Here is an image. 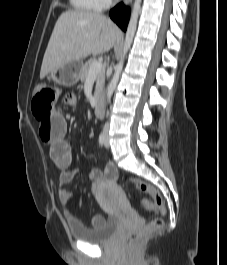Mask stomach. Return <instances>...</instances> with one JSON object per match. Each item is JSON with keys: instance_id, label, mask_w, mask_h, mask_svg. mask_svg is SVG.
I'll return each instance as SVG.
<instances>
[{"instance_id": "0dacf381", "label": "stomach", "mask_w": 227, "mask_h": 265, "mask_svg": "<svg viewBox=\"0 0 227 265\" xmlns=\"http://www.w3.org/2000/svg\"><path fill=\"white\" fill-rule=\"evenodd\" d=\"M82 61H72L50 72V78L57 84L72 86L80 79Z\"/></svg>"}]
</instances>
